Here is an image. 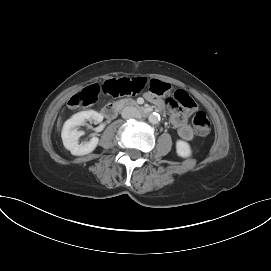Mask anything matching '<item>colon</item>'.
I'll return each mask as SVG.
<instances>
[{
	"instance_id": "obj_1",
	"label": "colon",
	"mask_w": 271,
	"mask_h": 271,
	"mask_svg": "<svg viewBox=\"0 0 271 271\" xmlns=\"http://www.w3.org/2000/svg\"><path fill=\"white\" fill-rule=\"evenodd\" d=\"M149 86V82L144 78L134 79H112L106 81L103 85L93 84L90 85L79 93L72 96L68 102L70 108L87 107L95 103L98 95L104 92L112 96H129L141 92ZM169 90V85L167 91ZM158 97L162 95H157ZM171 107L179 110V107L192 109L195 104L192 98L184 91L178 90L175 92L174 97L169 99ZM193 125L197 133L201 136H206L210 132L211 124L207 115L198 111L193 116Z\"/></svg>"
}]
</instances>
